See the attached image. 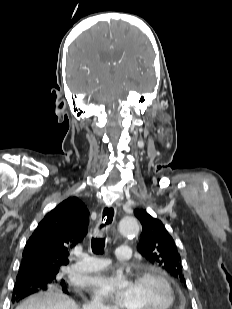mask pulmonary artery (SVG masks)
Wrapping results in <instances>:
<instances>
[{
	"mask_svg": "<svg viewBox=\"0 0 232 309\" xmlns=\"http://www.w3.org/2000/svg\"><path fill=\"white\" fill-rule=\"evenodd\" d=\"M117 259L127 261L132 258V250L129 246H119L115 249ZM82 258L71 266V270L77 273H91L104 269L109 265L106 258L89 257L82 255Z\"/></svg>",
	"mask_w": 232,
	"mask_h": 309,
	"instance_id": "pulmonary-artery-1",
	"label": "pulmonary artery"
}]
</instances>
